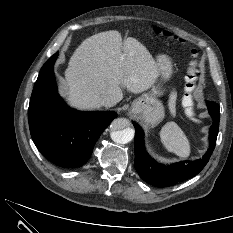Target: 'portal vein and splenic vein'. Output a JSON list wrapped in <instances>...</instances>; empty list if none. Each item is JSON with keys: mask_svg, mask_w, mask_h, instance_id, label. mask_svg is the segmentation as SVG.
<instances>
[{"mask_svg": "<svg viewBox=\"0 0 233 233\" xmlns=\"http://www.w3.org/2000/svg\"><path fill=\"white\" fill-rule=\"evenodd\" d=\"M124 59V57H123V55L121 56V60H123Z\"/></svg>", "mask_w": 233, "mask_h": 233, "instance_id": "portal-vein-and-splenic-vein-1", "label": "portal vein and splenic vein"}]
</instances>
